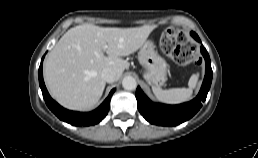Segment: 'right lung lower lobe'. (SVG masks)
<instances>
[{
  "mask_svg": "<svg viewBox=\"0 0 258 158\" xmlns=\"http://www.w3.org/2000/svg\"><path fill=\"white\" fill-rule=\"evenodd\" d=\"M44 58V57H43ZM42 58V61H43ZM39 85L42 90L43 98L48 108L62 121L74 126H90L99 123L109 111V102L115 89L111 90L105 101L94 111L88 113H80L69 111L55 102L49 95L42 74V62L39 67Z\"/></svg>",
  "mask_w": 258,
  "mask_h": 158,
  "instance_id": "1",
  "label": "right lung lower lobe"
}]
</instances>
